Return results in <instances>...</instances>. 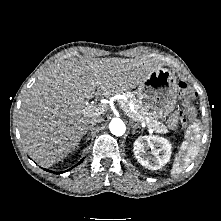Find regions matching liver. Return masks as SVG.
I'll list each match as a JSON object with an SVG mask.
<instances>
[{
  "label": "liver",
  "instance_id": "6515ba94",
  "mask_svg": "<svg viewBox=\"0 0 221 221\" xmlns=\"http://www.w3.org/2000/svg\"><path fill=\"white\" fill-rule=\"evenodd\" d=\"M160 64L145 58H71L50 67L25 94L19 111L22 142L40 166L49 168L78 146L93 97L134 89Z\"/></svg>",
  "mask_w": 221,
  "mask_h": 221
}]
</instances>
